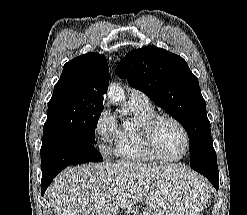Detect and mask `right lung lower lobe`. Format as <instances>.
<instances>
[{
	"label": "right lung lower lobe",
	"mask_w": 247,
	"mask_h": 215,
	"mask_svg": "<svg viewBox=\"0 0 247 215\" xmlns=\"http://www.w3.org/2000/svg\"><path fill=\"white\" fill-rule=\"evenodd\" d=\"M40 152L42 195L54 177L68 165L103 161L102 156L92 143L82 142L77 138L55 139L47 146H42Z\"/></svg>",
	"instance_id": "1"
}]
</instances>
